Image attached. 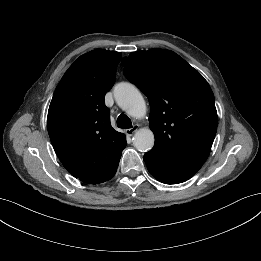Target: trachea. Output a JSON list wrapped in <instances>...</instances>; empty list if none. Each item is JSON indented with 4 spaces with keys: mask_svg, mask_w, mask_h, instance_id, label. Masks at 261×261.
Masks as SVG:
<instances>
[{
    "mask_svg": "<svg viewBox=\"0 0 261 261\" xmlns=\"http://www.w3.org/2000/svg\"><path fill=\"white\" fill-rule=\"evenodd\" d=\"M117 126L122 129H129L132 128V122L127 115L121 114L117 118Z\"/></svg>",
    "mask_w": 261,
    "mask_h": 261,
    "instance_id": "3493384b",
    "label": "trachea"
}]
</instances>
